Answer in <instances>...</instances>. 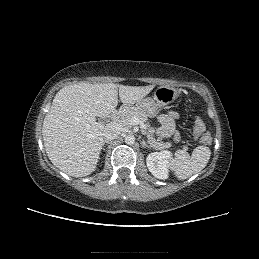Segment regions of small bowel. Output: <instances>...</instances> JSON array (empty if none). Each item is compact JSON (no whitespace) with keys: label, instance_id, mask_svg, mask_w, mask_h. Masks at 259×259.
Returning a JSON list of instances; mask_svg holds the SVG:
<instances>
[{"label":"small bowel","instance_id":"obj_1","mask_svg":"<svg viewBox=\"0 0 259 259\" xmlns=\"http://www.w3.org/2000/svg\"><path fill=\"white\" fill-rule=\"evenodd\" d=\"M178 118V114L176 112H168L159 117V133L163 137H171L175 134V125L174 121Z\"/></svg>","mask_w":259,"mask_h":259}]
</instances>
